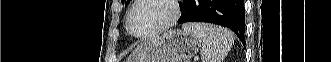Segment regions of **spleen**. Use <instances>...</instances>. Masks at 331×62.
Wrapping results in <instances>:
<instances>
[{"label":"spleen","mask_w":331,"mask_h":62,"mask_svg":"<svg viewBox=\"0 0 331 62\" xmlns=\"http://www.w3.org/2000/svg\"><path fill=\"white\" fill-rule=\"evenodd\" d=\"M182 28L202 43V62H222L234 43L230 31L212 24L194 22L184 24Z\"/></svg>","instance_id":"spleen-1"}]
</instances>
